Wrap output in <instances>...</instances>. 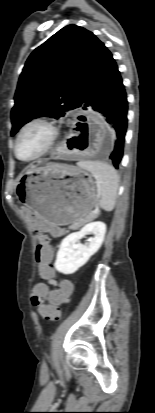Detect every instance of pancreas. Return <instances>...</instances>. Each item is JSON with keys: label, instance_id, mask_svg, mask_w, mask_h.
<instances>
[{"label": "pancreas", "instance_id": "cf45deb5", "mask_svg": "<svg viewBox=\"0 0 155 413\" xmlns=\"http://www.w3.org/2000/svg\"><path fill=\"white\" fill-rule=\"evenodd\" d=\"M96 216H97L96 214H91V215L88 216L85 220L74 222L73 224H71V225L69 226V229H71V230L78 229V228L81 227L85 222L95 219Z\"/></svg>", "mask_w": 155, "mask_h": 413}]
</instances>
